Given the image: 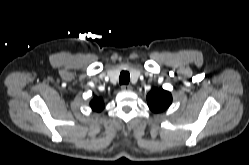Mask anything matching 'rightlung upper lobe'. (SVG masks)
<instances>
[{"label": "right lung upper lobe", "mask_w": 249, "mask_h": 165, "mask_svg": "<svg viewBox=\"0 0 249 165\" xmlns=\"http://www.w3.org/2000/svg\"><path fill=\"white\" fill-rule=\"evenodd\" d=\"M90 106L94 111L100 112L104 108V103L102 98L94 97L90 102Z\"/></svg>", "instance_id": "obj_1"}]
</instances>
